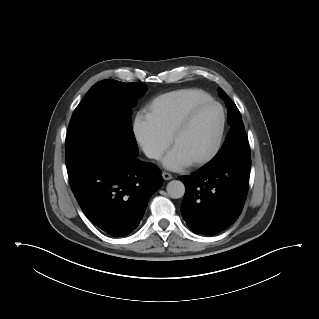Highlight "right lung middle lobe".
Wrapping results in <instances>:
<instances>
[{"label": "right lung middle lobe", "mask_w": 319, "mask_h": 319, "mask_svg": "<svg viewBox=\"0 0 319 319\" xmlns=\"http://www.w3.org/2000/svg\"><path fill=\"white\" fill-rule=\"evenodd\" d=\"M146 88V84L116 80H103L90 88L74 110L68 127V176H73L92 155L106 147H127L138 151L131 114Z\"/></svg>", "instance_id": "1"}]
</instances>
